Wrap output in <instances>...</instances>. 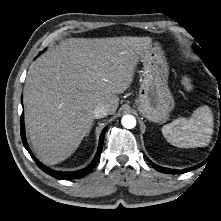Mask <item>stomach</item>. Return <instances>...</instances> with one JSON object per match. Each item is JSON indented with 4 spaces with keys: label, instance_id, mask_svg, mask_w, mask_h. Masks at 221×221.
Segmentation results:
<instances>
[{
    "label": "stomach",
    "instance_id": "1",
    "mask_svg": "<svg viewBox=\"0 0 221 221\" xmlns=\"http://www.w3.org/2000/svg\"><path fill=\"white\" fill-rule=\"evenodd\" d=\"M143 81L136 106L147 120L162 123L174 108V99L168 87L169 66L158 43H152L142 57Z\"/></svg>",
    "mask_w": 221,
    "mask_h": 221
}]
</instances>
